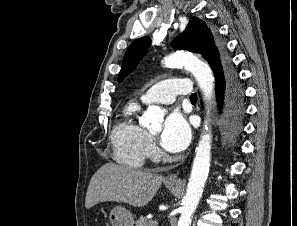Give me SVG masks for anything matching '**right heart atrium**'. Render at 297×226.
<instances>
[{
	"label": "right heart atrium",
	"mask_w": 297,
	"mask_h": 226,
	"mask_svg": "<svg viewBox=\"0 0 297 226\" xmlns=\"http://www.w3.org/2000/svg\"><path fill=\"white\" fill-rule=\"evenodd\" d=\"M147 155L149 157H155L157 155V147L154 139H152L151 137H149V141L147 144Z\"/></svg>",
	"instance_id": "right-heart-atrium-1"
}]
</instances>
